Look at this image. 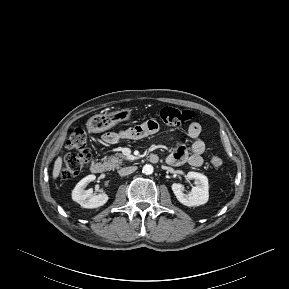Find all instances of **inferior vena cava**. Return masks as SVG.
Listing matches in <instances>:
<instances>
[{
  "instance_id": "602c4592",
  "label": "inferior vena cava",
  "mask_w": 289,
  "mask_h": 289,
  "mask_svg": "<svg viewBox=\"0 0 289 289\" xmlns=\"http://www.w3.org/2000/svg\"><path fill=\"white\" fill-rule=\"evenodd\" d=\"M137 169L136 166H129V167H124V168H121L118 173L120 176H126V175H129L133 172H135Z\"/></svg>"
}]
</instances>
